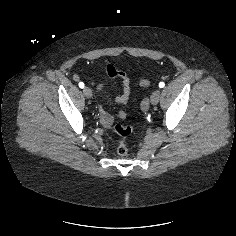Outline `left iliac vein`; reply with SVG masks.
Segmentation results:
<instances>
[{
	"label": "left iliac vein",
	"instance_id": "1",
	"mask_svg": "<svg viewBox=\"0 0 236 236\" xmlns=\"http://www.w3.org/2000/svg\"><path fill=\"white\" fill-rule=\"evenodd\" d=\"M160 97H161L160 90H155L150 97L151 104L156 105L159 102Z\"/></svg>",
	"mask_w": 236,
	"mask_h": 236
}]
</instances>
